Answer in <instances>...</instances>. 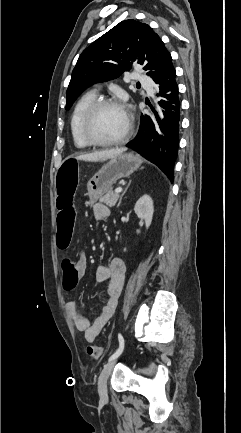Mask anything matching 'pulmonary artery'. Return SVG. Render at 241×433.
Instances as JSON below:
<instances>
[{"instance_id":"1","label":"pulmonary artery","mask_w":241,"mask_h":433,"mask_svg":"<svg viewBox=\"0 0 241 433\" xmlns=\"http://www.w3.org/2000/svg\"><path fill=\"white\" fill-rule=\"evenodd\" d=\"M136 80L142 84H147L150 82V80L148 79V77L144 74H136Z\"/></svg>"}]
</instances>
